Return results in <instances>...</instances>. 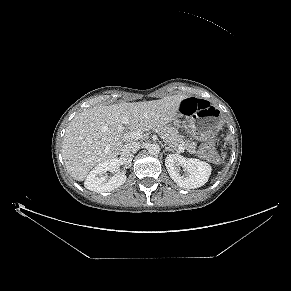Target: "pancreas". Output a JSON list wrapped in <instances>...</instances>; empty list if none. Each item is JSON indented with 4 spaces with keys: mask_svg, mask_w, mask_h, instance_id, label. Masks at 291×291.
Instances as JSON below:
<instances>
[{
    "mask_svg": "<svg viewBox=\"0 0 291 291\" xmlns=\"http://www.w3.org/2000/svg\"><path fill=\"white\" fill-rule=\"evenodd\" d=\"M154 130L172 149L178 151L179 146H183L188 153L196 154L199 157H203L199 151H196V142L185 139L183 135L179 134L176 128L169 125H164L155 127Z\"/></svg>",
    "mask_w": 291,
    "mask_h": 291,
    "instance_id": "pancreas-1",
    "label": "pancreas"
}]
</instances>
